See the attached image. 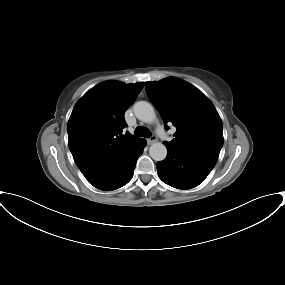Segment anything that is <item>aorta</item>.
Here are the masks:
<instances>
[{"instance_id": "obj_1", "label": "aorta", "mask_w": 285, "mask_h": 285, "mask_svg": "<svg viewBox=\"0 0 285 285\" xmlns=\"http://www.w3.org/2000/svg\"><path fill=\"white\" fill-rule=\"evenodd\" d=\"M134 114L142 122L151 124L156 120V113L153 106L146 101H138L134 105ZM149 154L155 161H162L167 156V148L161 142L152 144L149 148Z\"/></svg>"}]
</instances>
